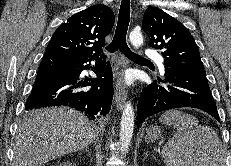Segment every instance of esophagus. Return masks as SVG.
Returning a JSON list of instances; mask_svg holds the SVG:
<instances>
[{"instance_id":"1","label":"esophagus","mask_w":231,"mask_h":166,"mask_svg":"<svg viewBox=\"0 0 231 166\" xmlns=\"http://www.w3.org/2000/svg\"><path fill=\"white\" fill-rule=\"evenodd\" d=\"M127 97V89L123 83L121 73L115 82V103L117 110H122Z\"/></svg>"}]
</instances>
